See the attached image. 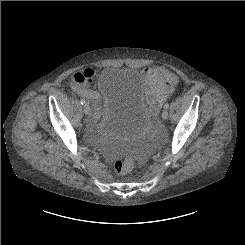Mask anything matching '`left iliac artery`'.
<instances>
[{"label": "left iliac artery", "instance_id": "left-iliac-artery-1", "mask_svg": "<svg viewBox=\"0 0 245 245\" xmlns=\"http://www.w3.org/2000/svg\"><path fill=\"white\" fill-rule=\"evenodd\" d=\"M168 107H169V104L166 103V104L164 105V108L167 109Z\"/></svg>", "mask_w": 245, "mask_h": 245}]
</instances>
